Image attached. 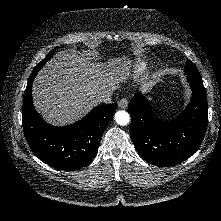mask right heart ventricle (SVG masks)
Segmentation results:
<instances>
[{
	"label": "right heart ventricle",
	"instance_id": "e07e8e85",
	"mask_svg": "<svg viewBox=\"0 0 221 221\" xmlns=\"http://www.w3.org/2000/svg\"><path fill=\"white\" fill-rule=\"evenodd\" d=\"M146 63L143 61H138L136 66H135V71L137 73H142L146 69Z\"/></svg>",
	"mask_w": 221,
	"mask_h": 221
}]
</instances>
